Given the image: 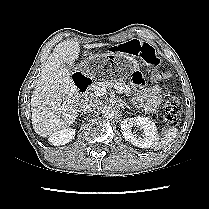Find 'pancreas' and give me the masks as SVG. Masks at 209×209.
Instances as JSON below:
<instances>
[{"label":"pancreas","mask_w":209,"mask_h":209,"mask_svg":"<svg viewBox=\"0 0 209 209\" xmlns=\"http://www.w3.org/2000/svg\"><path fill=\"white\" fill-rule=\"evenodd\" d=\"M113 85H118V86L123 87V91H124L127 95L131 92L130 87H129L127 84L122 83V82H115V83L109 82V81L96 82V83H94L93 88H94V89L99 88V87L111 88Z\"/></svg>","instance_id":"cf45deb5"}]
</instances>
